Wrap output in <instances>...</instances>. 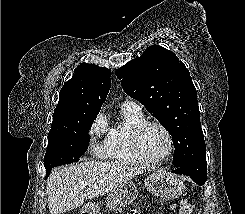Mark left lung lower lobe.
I'll use <instances>...</instances> for the list:
<instances>
[{
	"instance_id": "0a47b994",
	"label": "left lung lower lobe",
	"mask_w": 245,
	"mask_h": 214,
	"mask_svg": "<svg viewBox=\"0 0 245 214\" xmlns=\"http://www.w3.org/2000/svg\"><path fill=\"white\" fill-rule=\"evenodd\" d=\"M172 172L190 176L198 185H203L207 180L206 156L193 159Z\"/></svg>"
}]
</instances>
